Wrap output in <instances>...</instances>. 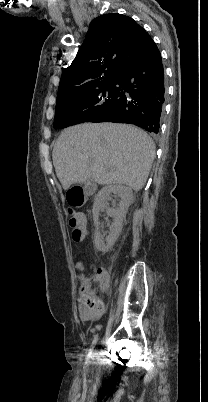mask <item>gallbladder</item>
Returning <instances> with one entry per match:
<instances>
[{"label":"gallbladder","mask_w":208,"mask_h":402,"mask_svg":"<svg viewBox=\"0 0 208 402\" xmlns=\"http://www.w3.org/2000/svg\"><path fill=\"white\" fill-rule=\"evenodd\" d=\"M98 188L97 181H86L84 192L86 195H93Z\"/></svg>","instance_id":"obj_1"}]
</instances>
